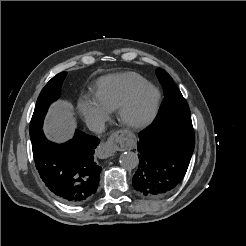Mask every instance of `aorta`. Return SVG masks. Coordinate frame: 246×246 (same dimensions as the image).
<instances>
[{
	"label": "aorta",
	"mask_w": 246,
	"mask_h": 246,
	"mask_svg": "<svg viewBox=\"0 0 246 246\" xmlns=\"http://www.w3.org/2000/svg\"><path fill=\"white\" fill-rule=\"evenodd\" d=\"M120 165L127 170H132L137 167L139 163L138 155L134 152L127 151L120 155Z\"/></svg>",
	"instance_id": "aorta-1"
}]
</instances>
